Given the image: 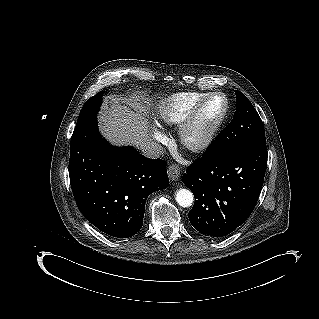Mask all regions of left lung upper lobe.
Returning <instances> with one entry per match:
<instances>
[{
	"label": "left lung upper lobe",
	"mask_w": 319,
	"mask_h": 319,
	"mask_svg": "<svg viewBox=\"0 0 319 319\" xmlns=\"http://www.w3.org/2000/svg\"><path fill=\"white\" fill-rule=\"evenodd\" d=\"M236 112L231 123L204 153L213 158L238 148L266 143L264 126L257 111L240 91L235 90Z\"/></svg>",
	"instance_id": "1"
}]
</instances>
